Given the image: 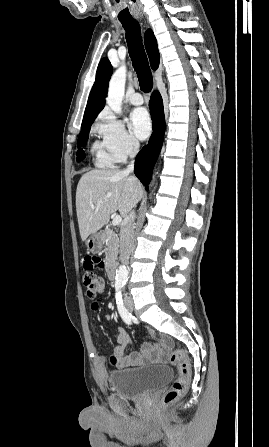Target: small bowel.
I'll return each instance as SVG.
<instances>
[{
	"label": "small bowel",
	"mask_w": 269,
	"mask_h": 447,
	"mask_svg": "<svg viewBox=\"0 0 269 447\" xmlns=\"http://www.w3.org/2000/svg\"><path fill=\"white\" fill-rule=\"evenodd\" d=\"M94 306L98 308L99 302L95 301ZM118 345L115 347V355L118 358L120 368H129L144 361L163 362L167 359L166 348L162 340L169 338V333L166 331L157 332L156 334L150 330V334L157 338L156 344H143L138 351H130L132 346L131 341L126 335L124 328L118 327Z\"/></svg>",
	"instance_id": "obj_1"
}]
</instances>
